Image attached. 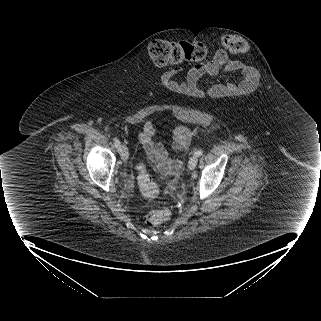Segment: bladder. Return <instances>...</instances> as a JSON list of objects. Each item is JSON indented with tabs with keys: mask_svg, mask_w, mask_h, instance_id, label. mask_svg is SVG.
Masks as SVG:
<instances>
[{
	"mask_svg": "<svg viewBox=\"0 0 321 321\" xmlns=\"http://www.w3.org/2000/svg\"><path fill=\"white\" fill-rule=\"evenodd\" d=\"M148 161L151 166L154 165V162L150 158H148Z\"/></svg>",
	"mask_w": 321,
	"mask_h": 321,
	"instance_id": "obj_1",
	"label": "bladder"
}]
</instances>
